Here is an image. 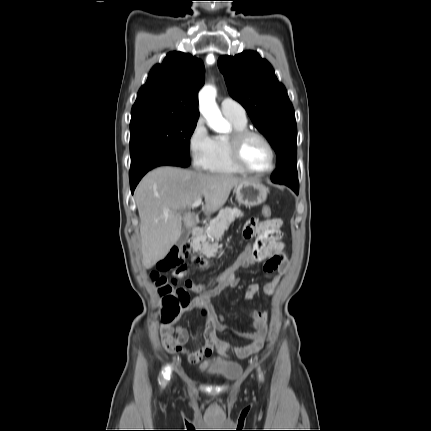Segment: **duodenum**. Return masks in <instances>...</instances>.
<instances>
[{"label":"duodenum","mask_w":431,"mask_h":431,"mask_svg":"<svg viewBox=\"0 0 431 431\" xmlns=\"http://www.w3.org/2000/svg\"><path fill=\"white\" fill-rule=\"evenodd\" d=\"M202 234H203L202 228H200V227H194L192 229V231H191V237H190L191 242H193V243L198 242L201 239ZM196 263L198 265H200V266H205V265L208 264L207 261H205V260H203L201 258H197L196 259Z\"/></svg>","instance_id":"410a0bca"}]
</instances>
